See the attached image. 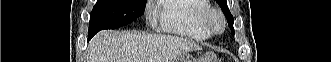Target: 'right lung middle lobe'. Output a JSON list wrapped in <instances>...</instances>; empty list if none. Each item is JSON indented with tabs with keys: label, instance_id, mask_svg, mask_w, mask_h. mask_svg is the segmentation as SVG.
<instances>
[{
	"label": "right lung middle lobe",
	"instance_id": "right-lung-middle-lobe-1",
	"mask_svg": "<svg viewBox=\"0 0 331 62\" xmlns=\"http://www.w3.org/2000/svg\"><path fill=\"white\" fill-rule=\"evenodd\" d=\"M143 0H97L90 15L88 39L103 29L131 23L143 14Z\"/></svg>",
	"mask_w": 331,
	"mask_h": 62
}]
</instances>
